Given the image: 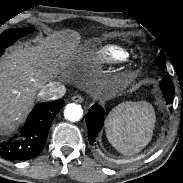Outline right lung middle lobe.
<instances>
[{
	"label": "right lung middle lobe",
	"mask_w": 183,
	"mask_h": 183,
	"mask_svg": "<svg viewBox=\"0 0 183 183\" xmlns=\"http://www.w3.org/2000/svg\"><path fill=\"white\" fill-rule=\"evenodd\" d=\"M34 30L33 27L22 29H10L4 31L0 35V53L4 52V49L13 44L17 39L26 34L31 33Z\"/></svg>",
	"instance_id": "right-lung-middle-lobe-1"
}]
</instances>
